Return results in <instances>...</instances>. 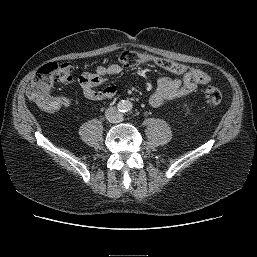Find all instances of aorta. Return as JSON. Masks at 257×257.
Returning a JSON list of instances; mask_svg holds the SVG:
<instances>
[{
    "mask_svg": "<svg viewBox=\"0 0 257 257\" xmlns=\"http://www.w3.org/2000/svg\"><path fill=\"white\" fill-rule=\"evenodd\" d=\"M119 107H120L121 111L126 112L131 109V103L129 101L123 100L119 103Z\"/></svg>",
    "mask_w": 257,
    "mask_h": 257,
    "instance_id": "aorta-1",
    "label": "aorta"
}]
</instances>
